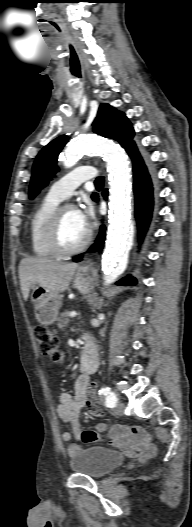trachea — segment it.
<instances>
[{
  "label": "trachea",
  "instance_id": "3493384b",
  "mask_svg": "<svg viewBox=\"0 0 192 527\" xmlns=\"http://www.w3.org/2000/svg\"><path fill=\"white\" fill-rule=\"evenodd\" d=\"M103 182H104V178L103 177H98L95 181V185L96 186H103Z\"/></svg>",
  "mask_w": 192,
  "mask_h": 527
}]
</instances>
